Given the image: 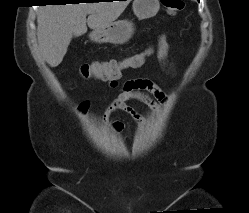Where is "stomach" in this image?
Listing matches in <instances>:
<instances>
[{"label":"stomach","instance_id":"obj_1","mask_svg":"<svg viewBox=\"0 0 249 213\" xmlns=\"http://www.w3.org/2000/svg\"><path fill=\"white\" fill-rule=\"evenodd\" d=\"M160 0H134L132 8L140 20L154 17L160 9ZM134 33V25L129 20H118L111 24L95 29L91 40L98 43L124 44L129 41Z\"/></svg>","mask_w":249,"mask_h":213}]
</instances>
